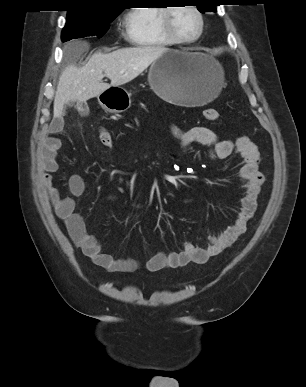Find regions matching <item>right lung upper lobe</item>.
Here are the masks:
<instances>
[{"label":"right lung upper lobe","instance_id":"right-lung-upper-lobe-1","mask_svg":"<svg viewBox=\"0 0 306 387\" xmlns=\"http://www.w3.org/2000/svg\"><path fill=\"white\" fill-rule=\"evenodd\" d=\"M68 16H93L122 11L120 0H71Z\"/></svg>","mask_w":306,"mask_h":387}]
</instances>
